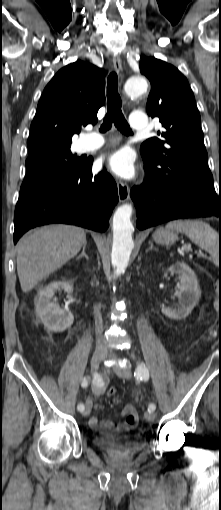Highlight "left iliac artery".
Here are the masks:
<instances>
[{
    "label": "left iliac artery",
    "mask_w": 221,
    "mask_h": 510,
    "mask_svg": "<svg viewBox=\"0 0 221 510\" xmlns=\"http://www.w3.org/2000/svg\"><path fill=\"white\" fill-rule=\"evenodd\" d=\"M134 376L137 380L148 381L149 370L147 369V367L145 366V364L143 362L138 364V366L134 372ZM155 409H156V405L154 403H150L148 406V411L154 412Z\"/></svg>",
    "instance_id": "obj_1"
}]
</instances>
